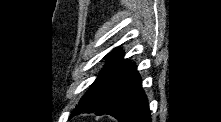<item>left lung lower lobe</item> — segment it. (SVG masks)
I'll return each mask as SVG.
<instances>
[{
  "label": "left lung lower lobe",
  "mask_w": 221,
  "mask_h": 122,
  "mask_svg": "<svg viewBox=\"0 0 221 122\" xmlns=\"http://www.w3.org/2000/svg\"><path fill=\"white\" fill-rule=\"evenodd\" d=\"M82 112L109 114L122 122H150L148 101L135 64L121 58L98 90L70 117Z\"/></svg>",
  "instance_id": "left-lung-lower-lobe-1"
}]
</instances>
